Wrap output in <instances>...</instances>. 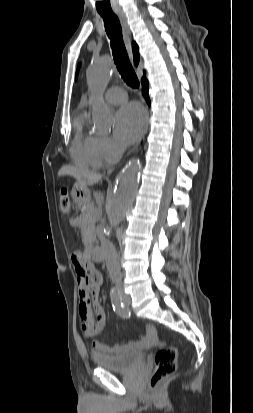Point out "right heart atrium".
Masks as SVG:
<instances>
[{"label":"right heart atrium","mask_w":253,"mask_h":413,"mask_svg":"<svg viewBox=\"0 0 253 413\" xmlns=\"http://www.w3.org/2000/svg\"><path fill=\"white\" fill-rule=\"evenodd\" d=\"M98 148L105 162H114L122 154V147L111 137H99Z\"/></svg>","instance_id":"1"}]
</instances>
